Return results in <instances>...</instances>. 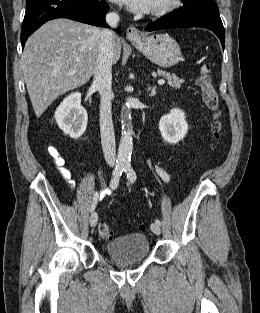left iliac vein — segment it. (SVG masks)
I'll return each mask as SVG.
<instances>
[{"mask_svg":"<svg viewBox=\"0 0 260 313\" xmlns=\"http://www.w3.org/2000/svg\"><path fill=\"white\" fill-rule=\"evenodd\" d=\"M150 228L152 230V232L156 235H160L161 233V228L158 224L156 223H151Z\"/></svg>","mask_w":260,"mask_h":313,"instance_id":"left-iliac-vein-1","label":"left iliac vein"}]
</instances>
